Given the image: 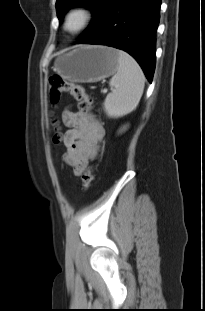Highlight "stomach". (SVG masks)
<instances>
[{
    "label": "stomach",
    "mask_w": 205,
    "mask_h": 311,
    "mask_svg": "<svg viewBox=\"0 0 205 311\" xmlns=\"http://www.w3.org/2000/svg\"><path fill=\"white\" fill-rule=\"evenodd\" d=\"M118 50L99 45H84L59 56L53 70L63 79L94 83L113 75L118 69Z\"/></svg>",
    "instance_id": "1"
}]
</instances>
